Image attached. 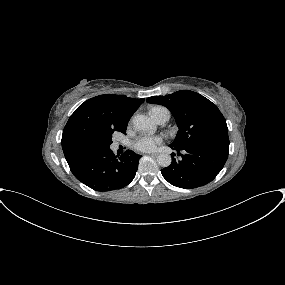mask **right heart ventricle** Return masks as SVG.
I'll list each match as a JSON object with an SVG mask.
<instances>
[{"mask_svg": "<svg viewBox=\"0 0 285 285\" xmlns=\"http://www.w3.org/2000/svg\"><path fill=\"white\" fill-rule=\"evenodd\" d=\"M160 112H167L170 114V112L165 107H162V106L153 107L150 111V114L154 118Z\"/></svg>", "mask_w": 285, "mask_h": 285, "instance_id": "1", "label": "right heart ventricle"}]
</instances>
